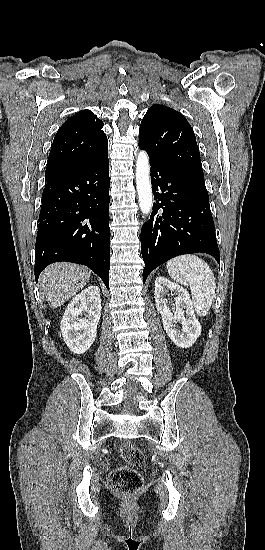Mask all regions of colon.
<instances>
[{
    "mask_svg": "<svg viewBox=\"0 0 265 550\" xmlns=\"http://www.w3.org/2000/svg\"><path fill=\"white\" fill-rule=\"evenodd\" d=\"M119 455L127 465L118 467L110 473L109 488L120 495L134 494L143 486L142 475L136 468L144 464V455L133 443L122 444L119 447Z\"/></svg>",
    "mask_w": 265,
    "mask_h": 550,
    "instance_id": "colon-1",
    "label": "colon"
}]
</instances>
